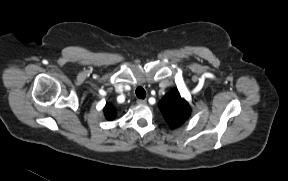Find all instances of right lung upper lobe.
<instances>
[{"mask_svg":"<svg viewBox=\"0 0 288 181\" xmlns=\"http://www.w3.org/2000/svg\"><path fill=\"white\" fill-rule=\"evenodd\" d=\"M105 116L108 120H113L116 116L115 108L111 104H106L104 108Z\"/></svg>","mask_w":288,"mask_h":181,"instance_id":"cb5924a9","label":"right lung upper lobe"}]
</instances>
